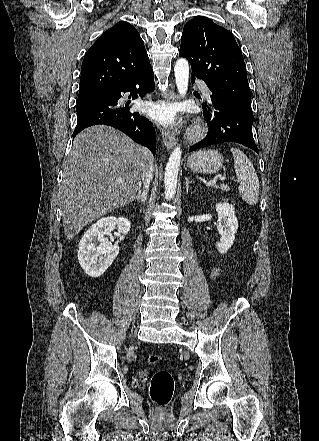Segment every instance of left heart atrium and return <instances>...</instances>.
<instances>
[{
	"instance_id": "39dd6f15",
	"label": "left heart atrium",
	"mask_w": 319,
	"mask_h": 441,
	"mask_svg": "<svg viewBox=\"0 0 319 441\" xmlns=\"http://www.w3.org/2000/svg\"><path fill=\"white\" fill-rule=\"evenodd\" d=\"M145 111L153 118H157L163 122L170 121L173 117L172 108L166 105L149 104L145 107Z\"/></svg>"
}]
</instances>
